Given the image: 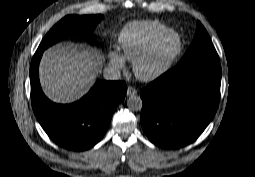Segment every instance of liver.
Here are the masks:
<instances>
[{"label":"liver","instance_id":"1","mask_svg":"<svg viewBox=\"0 0 255 177\" xmlns=\"http://www.w3.org/2000/svg\"><path fill=\"white\" fill-rule=\"evenodd\" d=\"M102 60L98 53L76 43L52 46L44 52L39 66L44 93L55 102L76 101L93 85Z\"/></svg>","mask_w":255,"mask_h":177}]
</instances>
